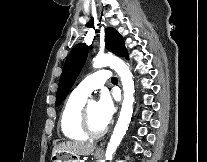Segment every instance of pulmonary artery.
I'll list each match as a JSON object with an SVG mask.
<instances>
[{"instance_id":"obj_1","label":"pulmonary artery","mask_w":207,"mask_h":162,"mask_svg":"<svg viewBox=\"0 0 207 162\" xmlns=\"http://www.w3.org/2000/svg\"><path fill=\"white\" fill-rule=\"evenodd\" d=\"M110 77V71L98 70L81 81L75 88V91L85 96H89L93 91L101 88Z\"/></svg>"}]
</instances>
